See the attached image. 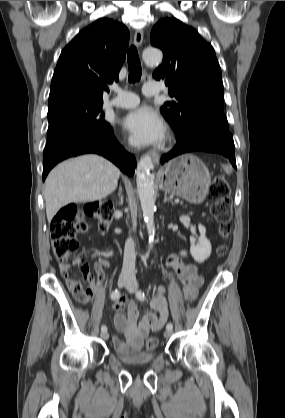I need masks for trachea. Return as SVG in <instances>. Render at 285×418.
Wrapping results in <instances>:
<instances>
[{
	"mask_svg": "<svg viewBox=\"0 0 285 418\" xmlns=\"http://www.w3.org/2000/svg\"><path fill=\"white\" fill-rule=\"evenodd\" d=\"M127 62L129 67V81L136 82L141 78L142 70L138 52L135 46H131L128 50Z\"/></svg>",
	"mask_w": 285,
	"mask_h": 418,
	"instance_id": "1",
	"label": "trachea"
}]
</instances>
